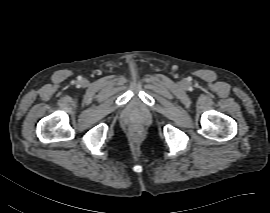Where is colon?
<instances>
[{"label":"colon","instance_id":"1","mask_svg":"<svg viewBox=\"0 0 270 213\" xmlns=\"http://www.w3.org/2000/svg\"><path fill=\"white\" fill-rule=\"evenodd\" d=\"M140 134V131L139 130H136L135 131V136H138Z\"/></svg>","mask_w":270,"mask_h":213}]
</instances>
